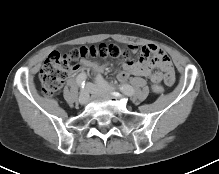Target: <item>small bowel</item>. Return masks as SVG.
<instances>
[{
    "mask_svg": "<svg viewBox=\"0 0 219 174\" xmlns=\"http://www.w3.org/2000/svg\"><path fill=\"white\" fill-rule=\"evenodd\" d=\"M132 52H137L138 46L128 45ZM123 70L119 73L118 79L125 81L130 75L149 77L153 82L159 83L162 80L166 85L171 86L175 81V74L172 63L166 53L156 45L150 44L142 48L140 62L126 60L123 62ZM88 68L95 72H102L105 65L94 61H84L77 70ZM153 68H159L160 71H153Z\"/></svg>",
    "mask_w": 219,
    "mask_h": 174,
    "instance_id": "1",
    "label": "small bowel"
}]
</instances>
